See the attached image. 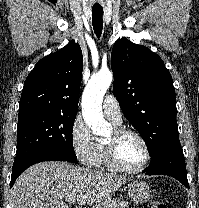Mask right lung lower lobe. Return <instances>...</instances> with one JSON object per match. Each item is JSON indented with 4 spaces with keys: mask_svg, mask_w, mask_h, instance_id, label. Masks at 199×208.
Wrapping results in <instances>:
<instances>
[{
    "mask_svg": "<svg viewBox=\"0 0 199 208\" xmlns=\"http://www.w3.org/2000/svg\"><path fill=\"white\" fill-rule=\"evenodd\" d=\"M51 160H56V161H66L63 157L56 155V154H45V155H39V156H34L28 160H25L21 162L20 164L13 166L12 170V177H11V183L10 187L14 184L15 180L17 177L28 167H30L33 164H36L38 162L42 161H51Z\"/></svg>",
    "mask_w": 199,
    "mask_h": 208,
    "instance_id": "obj_1",
    "label": "right lung lower lobe"
}]
</instances>
